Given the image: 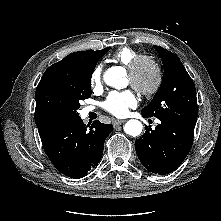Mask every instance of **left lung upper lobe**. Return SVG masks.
Wrapping results in <instances>:
<instances>
[{
    "label": "left lung upper lobe",
    "instance_id": "left-lung-upper-lobe-1",
    "mask_svg": "<svg viewBox=\"0 0 221 221\" xmlns=\"http://www.w3.org/2000/svg\"><path fill=\"white\" fill-rule=\"evenodd\" d=\"M164 66V80L153 100L143 108L145 117L195 127L198 116L196 89L179 58L170 51L154 46Z\"/></svg>",
    "mask_w": 221,
    "mask_h": 221
}]
</instances>
